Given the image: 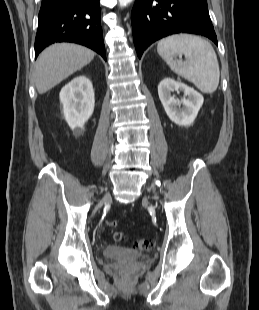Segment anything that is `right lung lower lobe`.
Instances as JSON below:
<instances>
[{"label": "right lung lower lobe", "instance_id": "right-lung-lower-lobe-1", "mask_svg": "<svg viewBox=\"0 0 259 310\" xmlns=\"http://www.w3.org/2000/svg\"><path fill=\"white\" fill-rule=\"evenodd\" d=\"M99 0H42L35 57L55 42L85 45L106 60Z\"/></svg>", "mask_w": 259, "mask_h": 310}]
</instances>
